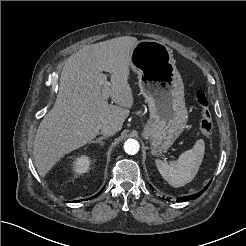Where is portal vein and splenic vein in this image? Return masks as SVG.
Segmentation results:
<instances>
[{
	"label": "portal vein and splenic vein",
	"instance_id": "portal-vein-and-splenic-vein-1",
	"mask_svg": "<svg viewBox=\"0 0 246 246\" xmlns=\"http://www.w3.org/2000/svg\"><path fill=\"white\" fill-rule=\"evenodd\" d=\"M110 85V82H108L107 80H105L103 83V98L106 100L109 98Z\"/></svg>",
	"mask_w": 246,
	"mask_h": 246
}]
</instances>
